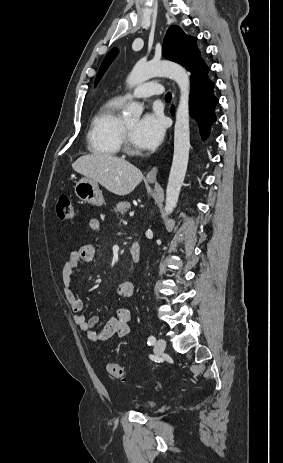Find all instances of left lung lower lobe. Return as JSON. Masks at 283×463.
Returning a JSON list of instances; mask_svg holds the SVG:
<instances>
[{"mask_svg": "<svg viewBox=\"0 0 283 463\" xmlns=\"http://www.w3.org/2000/svg\"><path fill=\"white\" fill-rule=\"evenodd\" d=\"M188 71L191 72L190 113L197 120L202 139H205L216 120L214 109L218 100L213 94L214 83L207 77L209 69L203 60L194 63ZM171 112H174L173 108Z\"/></svg>", "mask_w": 283, "mask_h": 463, "instance_id": "obj_1", "label": "left lung lower lobe"}]
</instances>
